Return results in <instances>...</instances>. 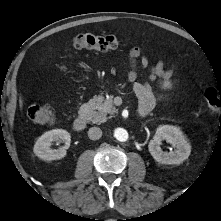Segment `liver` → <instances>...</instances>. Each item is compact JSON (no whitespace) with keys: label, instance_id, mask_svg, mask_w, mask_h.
Masks as SVG:
<instances>
[{"label":"liver","instance_id":"6515ba94","mask_svg":"<svg viewBox=\"0 0 221 221\" xmlns=\"http://www.w3.org/2000/svg\"><path fill=\"white\" fill-rule=\"evenodd\" d=\"M19 104H20V108H22V106H23V101H22V99H20Z\"/></svg>","mask_w":221,"mask_h":221}]
</instances>
